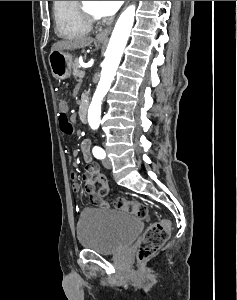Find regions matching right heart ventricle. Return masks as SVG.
Instances as JSON below:
<instances>
[{
    "instance_id": "1",
    "label": "right heart ventricle",
    "mask_w": 237,
    "mask_h": 300,
    "mask_svg": "<svg viewBox=\"0 0 237 300\" xmlns=\"http://www.w3.org/2000/svg\"><path fill=\"white\" fill-rule=\"evenodd\" d=\"M53 16L61 37L83 36L91 30V24L80 13L79 1H53Z\"/></svg>"
}]
</instances>
